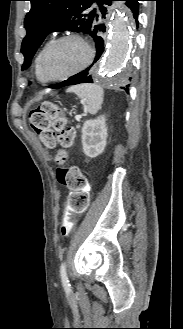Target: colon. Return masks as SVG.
<instances>
[{"label":"colon","instance_id":"1","mask_svg":"<svg viewBox=\"0 0 183 329\" xmlns=\"http://www.w3.org/2000/svg\"><path fill=\"white\" fill-rule=\"evenodd\" d=\"M29 123L41 142L48 148L61 147L57 155L59 163L68 157V150L73 146L75 131L67 127V119L61 109L53 103H43L33 109L29 115ZM57 181L69 190L67 206H64L61 235L67 237L73 228V218L82 217L89 203V187L85 176L76 166L60 167L56 172Z\"/></svg>","mask_w":183,"mask_h":329}]
</instances>
